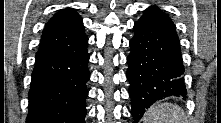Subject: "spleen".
Listing matches in <instances>:
<instances>
[{"label": "spleen", "mask_w": 221, "mask_h": 123, "mask_svg": "<svg viewBox=\"0 0 221 123\" xmlns=\"http://www.w3.org/2000/svg\"><path fill=\"white\" fill-rule=\"evenodd\" d=\"M144 123H185V114L176 104L157 103L143 117Z\"/></svg>", "instance_id": "spleen-1"}]
</instances>
